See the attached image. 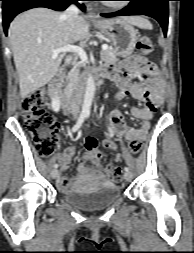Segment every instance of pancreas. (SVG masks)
<instances>
[{
	"instance_id": "1",
	"label": "pancreas",
	"mask_w": 194,
	"mask_h": 253,
	"mask_svg": "<svg viewBox=\"0 0 194 253\" xmlns=\"http://www.w3.org/2000/svg\"><path fill=\"white\" fill-rule=\"evenodd\" d=\"M118 52L112 48L108 47L107 50L102 51L101 59L109 64L116 63L118 61ZM84 66V64L79 63L76 67L69 73L67 77V90L70 91L75 88L79 83L82 82L84 75H80L79 68Z\"/></svg>"
}]
</instances>
